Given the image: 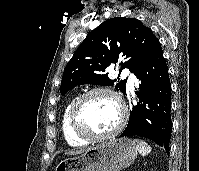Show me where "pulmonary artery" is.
<instances>
[{"label": "pulmonary artery", "instance_id": "1", "mask_svg": "<svg viewBox=\"0 0 199 171\" xmlns=\"http://www.w3.org/2000/svg\"><path fill=\"white\" fill-rule=\"evenodd\" d=\"M129 82H130L131 84H134V83L136 82V78H135L133 75H130V76H129Z\"/></svg>", "mask_w": 199, "mask_h": 171}]
</instances>
